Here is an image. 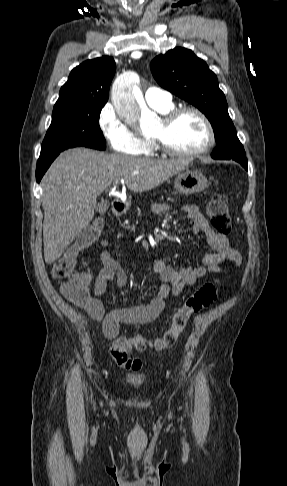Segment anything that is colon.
Wrapping results in <instances>:
<instances>
[{"instance_id":"obj_1","label":"colon","mask_w":287,"mask_h":486,"mask_svg":"<svg viewBox=\"0 0 287 486\" xmlns=\"http://www.w3.org/2000/svg\"><path fill=\"white\" fill-rule=\"evenodd\" d=\"M207 211L213 230L219 235L230 234L232 222L227 201L222 195L213 194ZM102 228L103 221L95 219L84 229L75 244L54 262L51 269L55 279L63 280L62 295L78 306H86L90 299V277L85 273L74 271L76 258L79 251L90 246L99 237ZM217 295L218 286L215 283H206L197 288L181 306L174 310L169 326L153 340H147L142 336L117 337L110 347L113 361L118 366L129 370L140 369L141 360L130 356L132 350L143 351L148 348L161 350L173 346L191 316L209 307L217 299Z\"/></svg>"}]
</instances>
